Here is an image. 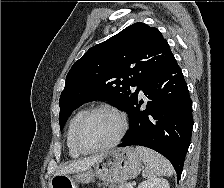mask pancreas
<instances>
[{
    "label": "pancreas",
    "mask_w": 224,
    "mask_h": 188,
    "mask_svg": "<svg viewBox=\"0 0 224 188\" xmlns=\"http://www.w3.org/2000/svg\"><path fill=\"white\" fill-rule=\"evenodd\" d=\"M98 185L101 186L102 184H98ZM126 185H127V183L121 182V183H118V185L111 184V185H109V188H126ZM103 188H105V187H103Z\"/></svg>",
    "instance_id": "pancreas-1"
}]
</instances>
